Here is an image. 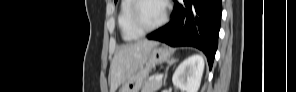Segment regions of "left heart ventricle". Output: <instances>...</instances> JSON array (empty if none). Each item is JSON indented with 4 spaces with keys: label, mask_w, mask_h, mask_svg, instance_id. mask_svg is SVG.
<instances>
[{
    "label": "left heart ventricle",
    "mask_w": 296,
    "mask_h": 92,
    "mask_svg": "<svg viewBox=\"0 0 296 92\" xmlns=\"http://www.w3.org/2000/svg\"><path fill=\"white\" fill-rule=\"evenodd\" d=\"M164 7L160 1H146L140 9V19L145 26L156 24L163 16Z\"/></svg>",
    "instance_id": "left-heart-ventricle-1"
}]
</instances>
